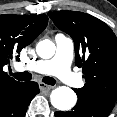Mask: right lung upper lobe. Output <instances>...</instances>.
<instances>
[{
	"mask_svg": "<svg viewBox=\"0 0 117 117\" xmlns=\"http://www.w3.org/2000/svg\"><path fill=\"white\" fill-rule=\"evenodd\" d=\"M47 23L48 17L45 14L0 15V102L22 84L4 72L3 66L32 43Z\"/></svg>",
	"mask_w": 117,
	"mask_h": 117,
	"instance_id": "cb5924a9",
	"label": "right lung upper lobe"
}]
</instances>
